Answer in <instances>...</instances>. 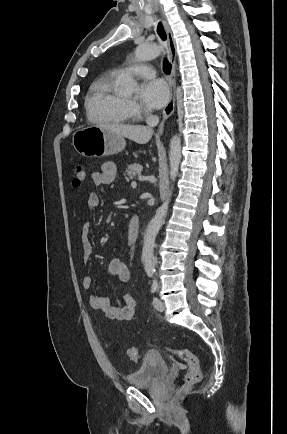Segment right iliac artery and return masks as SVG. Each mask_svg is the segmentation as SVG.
I'll list each match as a JSON object with an SVG mask.
<instances>
[{
	"label": "right iliac artery",
	"instance_id": "right-iliac-artery-1",
	"mask_svg": "<svg viewBox=\"0 0 287 434\" xmlns=\"http://www.w3.org/2000/svg\"><path fill=\"white\" fill-rule=\"evenodd\" d=\"M148 275L149 277H153L154 273H149Z\"/></svg>",
	"mask_w": 287,
	"mask_h": 434
}]
</instances>
